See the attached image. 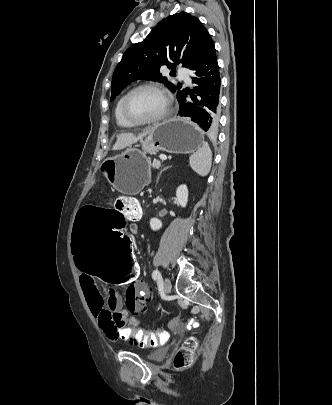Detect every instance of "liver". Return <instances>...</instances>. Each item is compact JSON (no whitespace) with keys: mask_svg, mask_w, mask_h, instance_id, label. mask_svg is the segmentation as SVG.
<instances>
[{"mask_svg":"<svg viewBox=\"0 0 332 405\" xmlns=\"http://www.w3.org/2000/svg\"><path fill=\"white\" fill-rule=\"evenodd\" d=\"M157 125L149 126L145 128L141 133L134 134V133H122L117 136V140L113 145V150H121L126 148L127 146H131L132 144L136 143L139 140H142L147 135L151 134Z\"/></svg>","mask_w":332,"mask_h":405,"instance_id":"obj_1","label":"liver"}]
</instances>
